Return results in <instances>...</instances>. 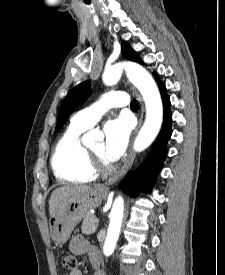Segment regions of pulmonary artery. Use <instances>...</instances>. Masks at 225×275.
I'll return each mask as SVG.
<instances>
[{"mask_svg":"<svg viewBox=\"0 0 225 275\" xmlns=\"http://www.w3.org/2000/svg\"><path fill=\"white\" fill-rule=\"evenodd\" d=\"M128 104L129 97L126 93L109 91L90 107L77 112L72 117V123L89 128L93 126L109 108L124 107Z\"/></svg>","mask_w":225,"mask_h":275,"instance_id":"e3ab8cb5","label":"pulmonary artery"}]
</instances>
